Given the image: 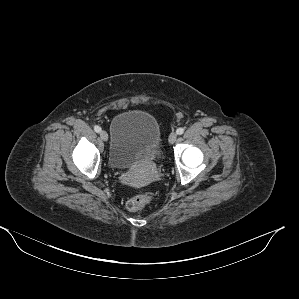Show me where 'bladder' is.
Instances as JSON below:
<instances>
[{"mask_svg": "<svg viewBox=\"0 0 299 299\" xmlns=\"http://www.w3.org/2000/svg\"><path fill=\"white\" fill-rule=\"evenodd\" d=\"M163 154L160 125L148 112L130 110L117 115L111 124L109 164L129 169L146 158Z\"/></svg>", "mask_w": 299, "mask_h": 299, "instance_id": "obj_1", "label": "bladder"}]
</instances>
